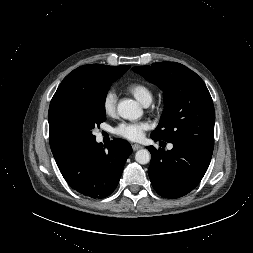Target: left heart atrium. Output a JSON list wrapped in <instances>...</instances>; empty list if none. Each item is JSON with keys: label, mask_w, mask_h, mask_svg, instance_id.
<instances>
[{"label": "left heart atrium", "mask_w": 253, "mask_h": 253, "mask_svg": "<svg viewBox=\"0 0 253 253\" xmlns=\"http://www.w3.org/2000/svg\"><path fill=\"white\" fill-rule=\"evenodd\" d=\"M148 127V124L145 122L121 123L115 128L114 132L122 138L131 141H138L143 137L144 132L148 129Z\"/></svg>", "instance_id": "left-heart-atrium-1"}]
</instances>
